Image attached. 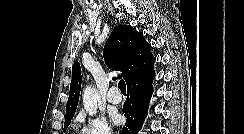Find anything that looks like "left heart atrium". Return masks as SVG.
Listing matches in <instances>:
<instances>
[{"mask_svg": "<svg viewBox=\"0 0 244 134\" xmlns=\"http://www.w3.org/2000/svg\"><path fill=\"white\" fill-rule=\"evenodd\" d=\"M111 117H112V120H113L114 123H119L120 120H121L120 115L117 114V113H113Z\"/></svg>", "mask_w": 244, "mask_h": 134, "instance_id": "39dd6f15", "label": "left heart atrium"}]
</instances>
